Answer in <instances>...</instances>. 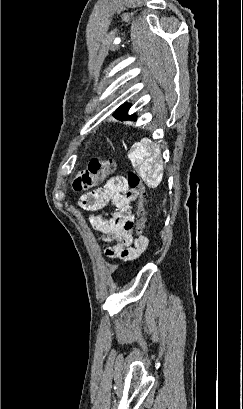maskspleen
<instances>
[{"label":"spleen","mask_w":243,"mask_h":409,"mask_svg":"<svg viewBox=\"0 0 243 409\" xmlns=\"http://www.w3.org/2000/svg\"><path fill=\"white\" fill-rule=\"evenodd\" d=\"M160 157L159 147L153 145L148 138H143L139 143H135L128 152L132 166L150 188H156L162 181L163 165Z\"/></svg>","instance_id":"spleen-1"}]
</instances>
